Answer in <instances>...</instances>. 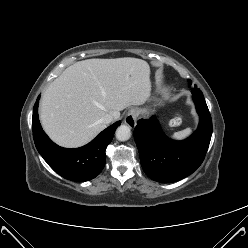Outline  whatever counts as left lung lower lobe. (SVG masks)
<instances>
[{"label":"left lung lower lobe","mask_w":248,"mask_h":248,"mask_svg":"<svg viewBox=\"0 0 248 248\" xmlns=\"http://www.w3.org/2000/svg\"><path fill=\"white\" fill-rule=\"evenodd\" d=\"M200 122L186 140L174 141L165 136L156 117L140 119L134 130L144 172L161 183L179 181L192 174L203 162L212 135V120L200 89L191 90Z\"/></svg>","instance_id":"0a47b994"}]
</instances>
